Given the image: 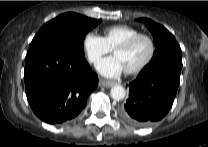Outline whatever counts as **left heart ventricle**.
I'll list each match as a JSON object with an SVG mask.
<instances>
[{
    "mask_svg": "<svg viewBox=\"0 0 208 147\" xmlns=\"http://www.w3.org/2000/svg\"><path fill=\"white\" fill-rule=\"evenodd\" d=\"M149 52V42L146 39H140L129 49L116 50L114 55L121 60L125 70H128L141 64L148 57Z\"/></svg>",
    "mask_w": 208,
    "mask_h": 147,
    "instance_id": "b2bd125f",
    "label": "left heart ventricle"
}]
</instances>
